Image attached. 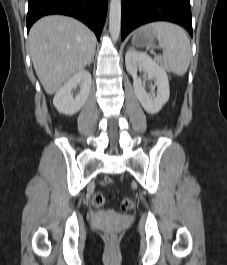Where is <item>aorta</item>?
Masks as SVG:
<instances>
[{
    "label": "aorta",
    "mask_w": 227,
    "mask_h": 265,
    "mask_svg": "<svg viewBox=\"0 0 227 265\" xmlns=\"http://www.w3.org/2000/svg\"><path fill=\"white\" fill-rule=\"evenodd\" d=\"M121 29V0H111L109 11V32L113 41L119 39Z\"/></svg>",
    "instance_id": "obj_1"
}]
</instances>
